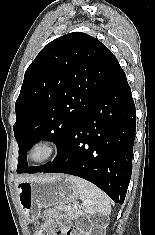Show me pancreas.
I'll return each instance as SVG.
<instances>
[{
	"mask_svg": "<svg viewBox=\"0 0 155 235\" xmlns=\"http://www.w3.org/2000/svg\"><path fill=\"white\" fill-rule=\"evenodd\" d=\"M63 210L67 213V215L71 218V219H75L78 217V211L75 210L74 208H70V207H64Z\"/></svg>",
	"mask_w": 155,
	"mask_h": 235,
	"instance_id": "obj_1",
	"label": "pancreas"
}]
</instances>
